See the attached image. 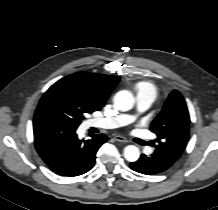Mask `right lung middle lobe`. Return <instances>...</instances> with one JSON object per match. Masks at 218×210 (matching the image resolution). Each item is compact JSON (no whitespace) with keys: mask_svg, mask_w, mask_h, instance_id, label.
I'll use <instances>...</instances> for the list:
<instances>
[{"mask_svg":"<svg viewBox=\"0 0 218 210\" xmlns=\"http://www.w3.org/2000/svg\"><path fill=\"white\" fill-rule=\"evenodd\" d=\"M94 112L85 102L63 88L52 85L42 96L35 111L36 119H56L77 129L87 113Z\"/></svg>","mask_w":218,"mask_h":210,"instance_id":"obj_1","label":"right lung middle lobe"}]
</instances>
